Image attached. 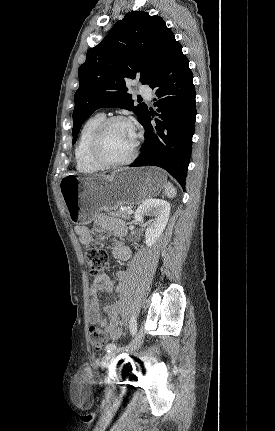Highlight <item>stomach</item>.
Segmentation results:
<instances>
[{
	"label": "stomach",
	"mask_w": 275,
	"mask_h": 431,
	"mask_svg": "<svg viewBox=\"0 0 275 431\" xmlns=\"http://www.w3.org/2000/svg\"><path fill=\"white\" fill-rule=\"evenodd\" d=\"M165 180L163 171L155 167L124 168L93 177L67 174L60 182V193L71 222L84 226L101 209L135 205L158 194Z\"/></svg>",
	"instance_id": "stomach-1"
}]
</instances>
